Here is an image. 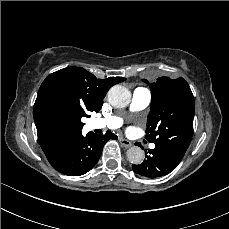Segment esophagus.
<instances>
[{
  "mask_svg": "<svg viewBox=\"0 0 229 229\" xmlns=\"http://www.w3.org/2000/svg\"><path fill=\"white\" fill-rule=\"evenodd\" d=\"M119 142H120L121 146H123L124 148H129V147L132 146V142L131 141H129V140L125 139V138H122V137L119 139Z\"/></svg>",
  "mask_w": 229,
  "mask_h": 229,
  "instance_id": "obj_1",
  "label": "esophagus"
}]
</instances>
